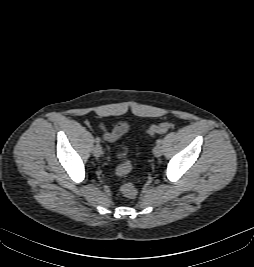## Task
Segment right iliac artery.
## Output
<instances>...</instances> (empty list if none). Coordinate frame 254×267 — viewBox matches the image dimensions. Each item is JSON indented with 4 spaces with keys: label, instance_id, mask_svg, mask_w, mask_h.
I'll list each match as a JSON object with an SVG mask.
<instances>
[{
    "label": "right iliac artery",
    "instance_id": "1",
    "mask_svg": "<svg viewBox=\"0 0 254 267\" xmlns=\"http://www.w3.org/2000/svg\"><path fill=\"white\" fill-rule=\"evenodd\" d=\"M95 143L99 144L100 143V139L98 137L95 138Z\"/></svg>",
    "mask_w": 254,
    "mask_h": 267
}]
</instances>
